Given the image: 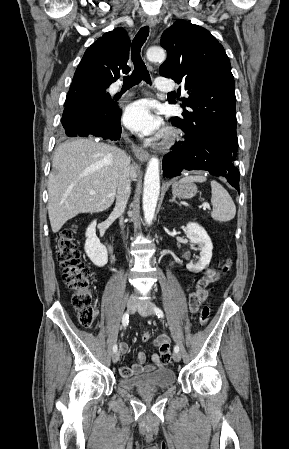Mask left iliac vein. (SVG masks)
<instances>
[{"label": "left iliac vein", "mask_w": 289, "mask_h": 449, "mask_svg": "<svg viewBox=\"0 0 289 449\" xmlns=\"http://www.w3.org/2000/svg\"><path fill=\"white\" fill-rule=\"evenodd\" d=\"M137 310L140 313V315L143 316V317L150 316V315H152L154 313L153 306L150 303H148V302L138 303L137 304ZM173 360L175 362H179L181 360V354L179 352H174L173 353Z\"/></svg>", "instance_id": "obj_1"}]
</instances>
